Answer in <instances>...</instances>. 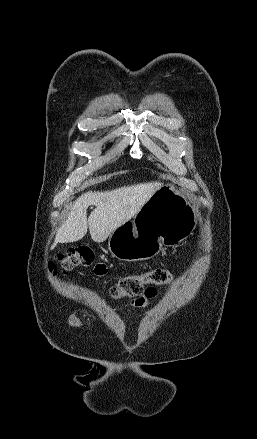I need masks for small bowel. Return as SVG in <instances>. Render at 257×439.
<instances>
[{"instance_id":"obj_1","label":"small bowel","mask_w":257,"mask_h":439,"mask_svg":"<svg viewBox=\"0 0 257 439\" xmlns=\"http://www.w3.org/2000/svg\"><path fill=\"white\" fill-rule=\"evenodd\" d=\"M95 274L98 276H103L107 273V268L103 264H99L96 266L94 270ZM147 272H144L142 274H145ZM157 295V290L154 287H148L144 290L143 295H141L138 298H135L132 300L131 304L135 307H145L149 304V302L155 298Z\"/></svg>"}]
</instances>
